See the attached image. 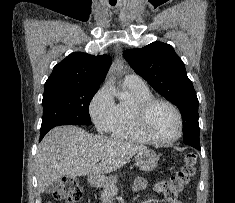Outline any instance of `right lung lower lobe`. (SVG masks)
I'll use <instances>...</instances> for the list:
<instances>
[{
  "instance_id": "98d812e1",
  "label": "right lung lower lobe",
  "mask_w": 235,
  "mask_h": 203,
  "mask_svg": "<svg viewBox=\"0 0 235 203\" xmlns=\"http://www.w3.org/2000/svg\"><path fill=\"white\" fill-rule=\"evenodd\" d=\"M50 130V129H49ZM49 130H45V131H40V140H42V138L45 136V134L49 131Z\"/></svg>"
}]
</instances>
